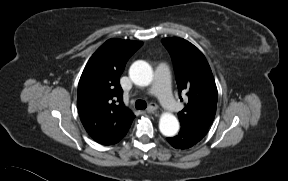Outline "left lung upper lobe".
<instances>
[{
	"label": "left lung upper lobe",
	"instance_id": "left-lung-upper-lobe-1",
	"mask_svg": "<svg viewBox=\"0 0 288 181\" xmlns=\"http://www.w3.org/2000/svg\"><path fill=\"white\" fill-rule=\"evenodd\" d=\"M161 42L172 57L180 99L181 92L189 98L178 113L181 128L208 130L215 117L218 92L205 56L182 38H164Z\"/></svg>",
	"mask_w": 288,
	"mask_h": 181
}]
</instances>
